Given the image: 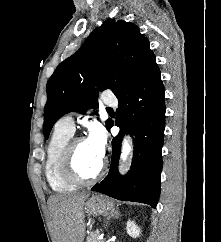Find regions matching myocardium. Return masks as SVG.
<instances>
[{
    "label": "myocardium",
    "mask_w": 221,
    "mask_h": 242,
    "mask_svg": "<svg viewBox=\"0 0 221 242\" xmlns=\"http://www.w3.org/2000/svg\"><path fill=\"white\" fill-rule=\"evenodd\" d=\"M83 140V137H75L69 140L62 157L61 169L64 177L76 184H87L96 181L102 176L106 168V161L102 159L98 170L90 176H85L77 170L75 164L76 145Z\"/></svg>",
    "instance_id": "myocardium-1"
}]
</instances>
